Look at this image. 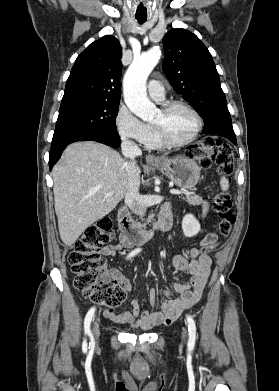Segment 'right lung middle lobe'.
Instances as JSON below:
<instances>
[{
    "label": "right lung middle lobe",
    "mask_w": 279,
    "mask_h": 391,
    "mask_svg": "<svg viewBox=\"0 0 279 391\" xmlns=\"http://www.w3.org/2000/svg\"><path fill=\"white\" fill-rule=\"evenodd\" d=\"M119 102L97 101L60 109L53 140L100 128H116Z\"/></svg>",
    "instance_id": "dd1d6c3e"
}]
</instances>
